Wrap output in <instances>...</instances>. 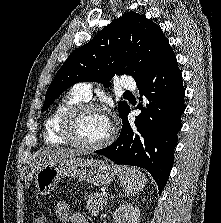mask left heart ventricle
<instances>
[{
  "instance_id": "obj_1",
  "label": "left heart ventricle",
  "mask_w": 221,
  "mask_h": 223,
  "mask_svg": "<svg viewBox=\"0 0 221 223\" xmlns=\"http://www.w3.org/2000/svg\"><path fill=\"white\" fill-rule=\"evenodd\" d=\"M110 121L99 111L83 113L74 128L75 138L85 144H96L110 133Z\"/></svg>"
}]
</instances>
